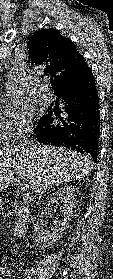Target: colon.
Listing matches in <instances>:
<instances>
[{"label": "colon", "mask_w": 113, "mask_h": 279, "mask_svg": "<svg viewBox=\"0 0 113 279\" xmlns=\"http://www.w3.org/2000/svg\"><path fill=\"white\" fill-rule=\"evenodd\" d=\"M2 255H3V249L0 247V260L2 258Z\"/></svg>", "instance_id": "5ec220e1"}]
</instances>
